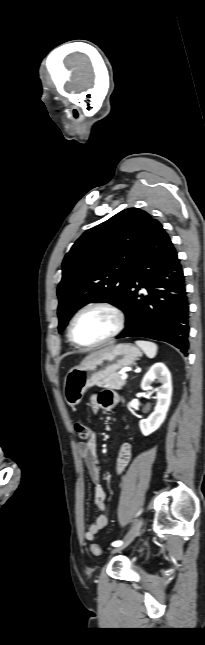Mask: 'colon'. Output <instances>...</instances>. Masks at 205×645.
Here are the masks:
<instances>
[{"label": "colon", "mask_w": 205, "mask_h": 645, "mask_svg": "<svg viewBox=\"0 0 205 645\" xmlns=\"http://www.w3.org/2000/svg\"><path fill=\"white\" fill-rule=\"evenodd\" d=\"M73 427L79 438L83 441H88L91 437V429L89 426L82 420H75ZM90 550L94 555H101L103 549L97 544H91Z\"/></svg>", "instance_id": "5ec220e1"}]
</instances>
